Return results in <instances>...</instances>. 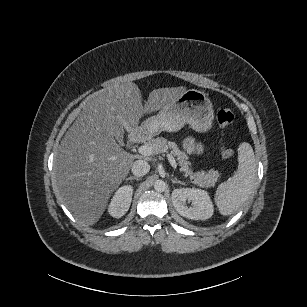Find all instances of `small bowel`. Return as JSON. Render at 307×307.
<instances>
[{
    "mask_svg": "<svg viewBox=\"0 0 307 307\" xmlns=\"http://www.w3.org/2000/svg\"><path fill=\"white\" fill-rule=\"evenodd\" d=\"M184 149L189 154L198 153L201 150L200 145H198L193 138L188 137L183 142Z\"/></svg>",
    "mask_w": 307,
    "mask_h": 307,
    "instance_id": "small-bowel-1",
    "label": "small bowel"
}]
</instances>
